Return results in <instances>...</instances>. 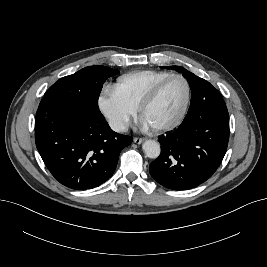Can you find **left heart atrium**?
I'll list each match as a JSON object with an SVG mask.
<instances>
[{"label":"left heart atrium","mask_w":267,"mask_h":267,"mask_svg":"<svg viewBox=\"0 0 267 267\" xmlns=\"http://www.w3.org/2000/svg\"><path fill=\"white\" fill-rule=\"evenodd\" d=\"M142 124H143L144 126H148V125H149L144 119H142Z\"/></svg>","instance_id":"39dd6f15"}]
</instances>
